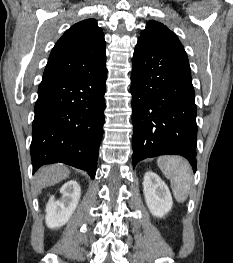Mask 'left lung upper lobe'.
<instances>
[{"label": "left lung upper lobe", "mask_w": 233, "mask_h": 263, "mask_svg": "<svg viewBox=\"0 0 233 263\" xmlns=\"http://www.w3.org/2000/svg\"><path fill=\"white\" fill-rule=\"evenodd\" d=\"M138 42L151 46L184 50L177 36L166 26L156 21L147 23Z\"/></svg>", "instance_id": "left-lung-upper-lobe-1"}]
</instances>
